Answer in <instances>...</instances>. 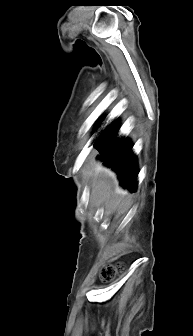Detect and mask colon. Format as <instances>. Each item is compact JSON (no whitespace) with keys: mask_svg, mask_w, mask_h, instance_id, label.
<instances>
[{"mask_svg":"<svg viewBox=\"0 0 193 336\" xmlns=\"http://www.w3.org/2000/svg\"><path fill=\"white\" fill-rule=\"evenodd\" d=\"M123 270L124 265L122 263L107 264L103 267L100 276L103 281L108 282L114 279V277Z\"/></svg>","mask_w":193,"mask_h":336,"instance_id":"obj_1","label":"colon"}]
</instances>
